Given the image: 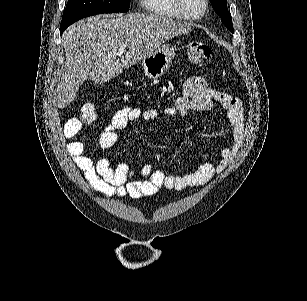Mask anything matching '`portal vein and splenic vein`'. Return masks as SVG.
Masks as SVG:
<instances>
[{
  "label": "portal vein and splenic vein",
  "mask_w": 307,
  "mask_h": 301,
  "mask_svg": "<svg viewBox=\"0 0 307 301\" xmlns=\"http://www.w3.org/2000/svg\"><path fill=\"white\" fill-rule=\"evenodd\" d=\"M113 50H116V52L122 54V52H126V46H119V48H113Z\"/></svg>",
  "instance_id": "obj_1"
}]
</instances>
